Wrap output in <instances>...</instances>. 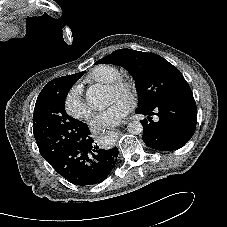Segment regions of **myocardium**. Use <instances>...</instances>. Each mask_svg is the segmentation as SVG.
Segmentation results:
<instances>
[{
    "instance_id": "obj_1",
    "label": "myocardium",
    "mask_w": 227,
    "mask_h": 227,
    "mask_svg": "<svg viewBox=\"0 0 227 227\" xmlns=\"http://www.w3.org/2000/svg\"><path fill=\"white\" fill-rule=\"evenodd\" d=\"M107 88L118 90H123L127 96L131 99L135 96V83L134 81L127 75L119 74L112 81L107 83Z\"/></svg>"
}]
</instances>
